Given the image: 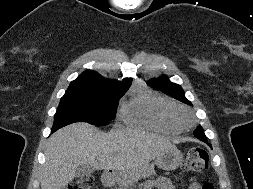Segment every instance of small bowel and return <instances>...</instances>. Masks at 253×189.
<instances>
[{
    "label": "small bowel",
    "mask_w": 253,
    "mask_h": 189,
    "mask_svg": "<svg viewBox=\"0 0 253 189\" xmlns=\"http://www.w3.org/2000/svg\"><path fill=\"white\" fill-rule=\"evenodd\" d=\"M145 189H175L172 182L167 177H160L153 182H149L145 185ZM189 189H199V185L191 179Z\"/></svg>",
    "instance_id": "obj_1"
}]
</instances>
